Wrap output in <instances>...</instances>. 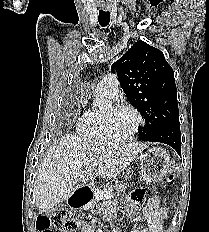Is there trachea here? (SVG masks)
<instances>
[{
	"label": "trachea",
	"instance_id": "trachea-1",
	"mask_svg": "<svg viewBox=\"0 0 209 232\" xmlns=\"http://www.w3.org/2000/svg\"><path fill=\"white\" fill-rule=\"evenodd\" d=\"M98 21H99V24L102 26V27H105L109 24L110 22V13L109 11H99V16H98Z\"/></svg>",
	"mask_w": 209,
	"mask_h": 232
}]
</instances>
